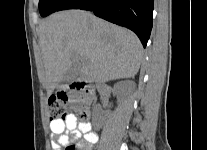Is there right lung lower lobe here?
<instances>
[{
  "instance_id": "98d812e1",
  "label": "right lung lower lobe",
  "mask_w": 207,
  "mask_h": 150,
  "mask_svg": "<svg viewBox=\"0 0 207 150\" xmlns=\"http://www.w3.org/2000/svg\"><path fill=\"white\" fill-rule=\"evenodd\" d=\"M153 5V0H66L57 11H93L100 18L134 31L146 47L152 29Z\"/></svg>"
}]
</instances>
